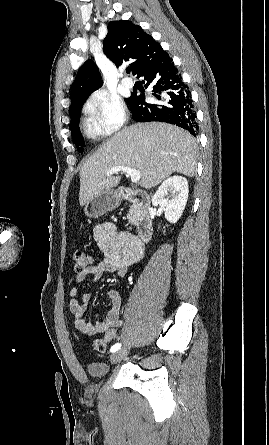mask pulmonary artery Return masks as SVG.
Here are the masks:
<instances>
[{
    "label": "pulmonary artery",
    "mask_w": 269,
    "mask_h": 445,
    "mask_svg": "<svg viewBox=\"0 0 269 445\" xmlns=\"http://www.w3.org/2000/svg\"><path fill=\"white\" fill-rule=\"evenodd\" d=\"M121 82H122V85L126 88H131L134 85L133 81L127 77H124Z\"/></svg>",
    "instance_id": "pulmonary-artery-1"
}]
</instances>
